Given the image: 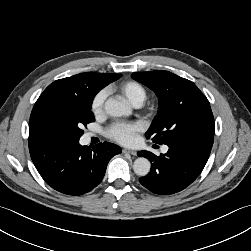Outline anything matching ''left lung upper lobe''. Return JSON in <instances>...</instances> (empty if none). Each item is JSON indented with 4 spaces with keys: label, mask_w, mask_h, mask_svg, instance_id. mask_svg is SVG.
<instances>
[{
    "label": "left lung upper lobe",
    "mask_w": 251,
    "mask_h": 251,
    "mask_svg": "<svg viewBox=\"0 0 251 251\" xmlns=\"http://www.w3.org/2000/svg\"><path fill=\"white\" fill-rule=\"evenodd\" d=\"M131 77L153 90L159 110L146 137L170 144L196 137H214L209 101L198 87L169 71L134 72Z\"/></svg>",
    "instance_id": "1"
}]
</instances>
